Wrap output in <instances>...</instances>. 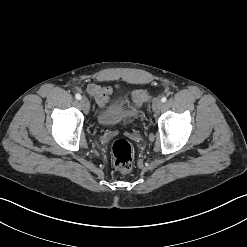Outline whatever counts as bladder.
Wrapping results in <instances>:
<instances>
[{"mask_svg": "<svg viewBox=\"0 0 247 247\" xmlns=\"http://www.w3.org/2000/svg\"><path fill=\"white\" fill-rule=\"evenodd\" d=\"M127 113L128 111L124 108L123 102H119L99 113L97 122L102 125H113L120 122Z\"/></svg>", "mask_w": 247, "mask_h": 247, "instance_id": "1", "label": "bladder"}]
</instances>
